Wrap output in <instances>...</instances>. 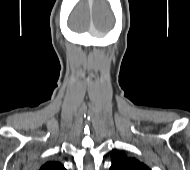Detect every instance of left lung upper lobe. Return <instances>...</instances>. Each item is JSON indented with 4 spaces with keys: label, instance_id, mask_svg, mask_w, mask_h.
I'll use <instances>...</instances> for the list:
<instances>
[{
    "label": "left lung upper lobe",
    "instance_id": "obj_1",
    "mask_svg": "<svg viewBox=\"0 0 190 170\" xmlns=\"http://www.w3.org/2000/svg\"><path fill=\"white\" fill-rule=\"evenodd\" d=\"M109 170H150V168L139 160L126 156L123 152H114Z\"/></svg>",
    "mask_w": 190,
    "mask_h": 170
}]
</instances>
